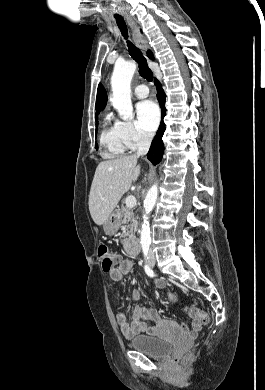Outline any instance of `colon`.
I'll use <instances>...</instances> for the list:
<instances>
[{"mask_svg":"<svg viewBox=\"0 0 265 390\" xmlns=\"http://www.w3.org/2000/svg\"><path fill=\"white\" fill-rule=\"evenodd\" d=\"M98 257L105 272H110L115 268L116 257L106 245L101 244L98 247ZM167 298L171 303H177L178 301L177 296L172 292H169L167 294ZM185 311L189 314L191 318L199 320L203 324H207L209 322L208 315L198 308L187 307L185 308Z\"/></svg>","mask_w":265,"mask_h":390,"instance_id":"obj_1","label":"colon"}]
</instances>
